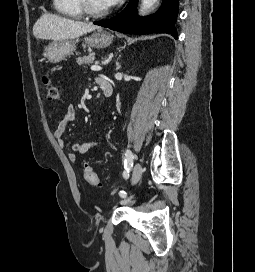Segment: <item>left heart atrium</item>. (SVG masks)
<instances>
[{"mask_svg":"<svg viewBox=\"0 0 255 272\" xmlns=\"http://www.w3.org/2000/svg\"><path fill=\"white\" fill-rule=\"evenodd\" d=\"M121 0H104L106 6L109 8V7H112L114 5H116L117 3H119Z\"/></svg>","mask_w":255,"mask_h":272,"instance_id":"39dd6f15","label":"left heart atrium"}]
</instances>
